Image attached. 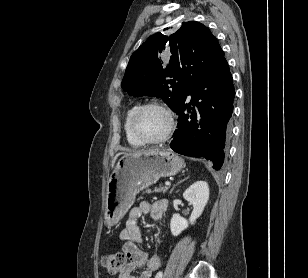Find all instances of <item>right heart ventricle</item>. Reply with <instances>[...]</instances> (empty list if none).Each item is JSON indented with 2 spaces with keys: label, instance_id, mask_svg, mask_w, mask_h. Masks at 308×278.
<instances>
[{
  "label": "right heart ventricle",
  "instance_id": "right-heart-ventricle-1",
  "mask_svg": "<svg viewBox=\"0 0 308 278\" xmlns=\"http://www.w3.org/2000/svg\"><path fill=\"white\" fill-rule=\"evenodd\" d=\"M139 106V104H134L132 105L125 114L124 117V123H123V127H124V132H125V136L127 139V142L129 143V145H131L132 147H141L144 144L139 141L132 133L131 129H130V117L131 114L133 113V111Z\"/></svg>",
  "mask_w": 308,
  "mask_h": 278
}]
</instances>
